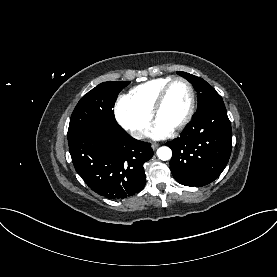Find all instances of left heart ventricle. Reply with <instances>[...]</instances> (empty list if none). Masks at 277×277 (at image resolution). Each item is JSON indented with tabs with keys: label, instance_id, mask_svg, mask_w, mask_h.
I'll list each match as a JSON object with an SVG mask.
<instances>
[{
	"label": "left heart ventricle",
	"instance_id": "obj_1",
	"mask_svg": "<svg viewBox=\"0 0 277 277\" xmlns=\"http://www.w3.org/2000/svg\"><path fill=\"white\" fill-rule=\"evenodd\" d=\"M190 105V93L187 86L177 82L170 88L166 100L158 114L160 121L171 129L175 128L186 116Z\"/></svg>",
	"mask_w": 277,
	"mask_h": 277
}]
</instances>
